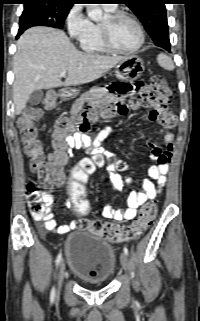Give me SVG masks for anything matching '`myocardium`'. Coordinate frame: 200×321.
Wrapping results in <instances>:
<instances>
[{"label":"myocardium","mask_w":200,"mask_h":321,"mask_svg":"<svg viewBox=\"0 0 200 321\" xmlns=\"http://www.w3.org/2000/svg\"><path fill=\"white\" fill-rule=\"evenodd\" d=\"M107 18H108V22L106 24H102V23L99 24V28H100L101 40L108 51L113 52V53H117V54L128 55V54H134L142 48V46L145 43V32H144L142 24L133 14L126 12V11L118 10V11L110 12L107 15ZM120 18L130 19L137 27V30L139 33L138 44L135 47L128 49V50L118 48L114 44L113 39H112L111 25H112V23L119 20Z\"/></svg>","instance_id":"myocardium-1"}]
</instances>
